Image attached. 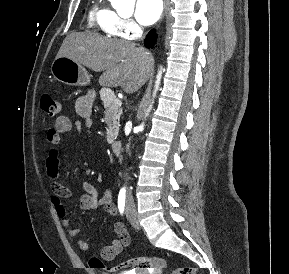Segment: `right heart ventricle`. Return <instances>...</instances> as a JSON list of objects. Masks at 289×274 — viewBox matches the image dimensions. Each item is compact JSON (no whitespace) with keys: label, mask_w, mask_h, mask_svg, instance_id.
<instances>
[{"label":"right heart ventricle","mask_w":289,"mask_h":274,"mask_svg":"<svg viewBox=\"0 0 289 274\" xmlns=\"http://www.w3.org/2000/svg\"><path fill=\"white\" fill-rule=\"evenodd\" d=\"M117 17L118 15L101 0H96L89 11L88 24L107 35L114 36L118 35L115 29Z\"/></svg>","instance_id":"right-heart-ventricle-1"}]
</instances>
